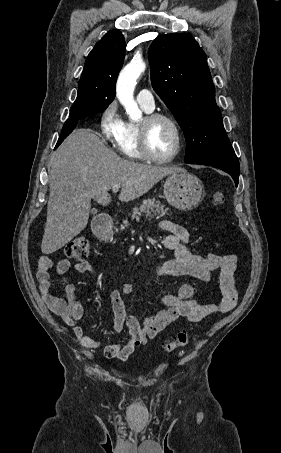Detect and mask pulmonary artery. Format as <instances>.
I'll return each instance as SVG.
<instances>
[{
    "instance_id": "pulmonary-artery-1",
    "label": "pulmonary artery",
    "mask_w": 281,
    "mask_h": 453,
    "mask_svg": "<svg viewBox=\"0 0 281 453\" xmlns=\"http://www.w3.org/2000/svg\"><path fill=\"white\" fill-rule=\"evenodd\" d=\"M137 101L139 103L144 104L146 106V108H148L150 110L154 109V107H155L154 98H153L152 94L150 93V91L147 89L141 90L138 93Z\"/></svg>"
}]
</instances>
